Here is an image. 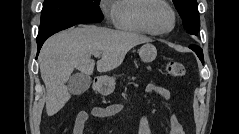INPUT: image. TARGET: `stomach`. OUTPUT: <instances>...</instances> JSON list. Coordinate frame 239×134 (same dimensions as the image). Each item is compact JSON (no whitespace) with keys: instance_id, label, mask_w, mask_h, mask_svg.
Segmentation results:
<instances>
[{"instance_id":"0dacf381","label":"stomach","mask_w":239,"mask_h":134,"mask_svg":"<svg viewBox=\"0 0 239 134\" xmlns=\"http://www.w3.org/2000/svg\"><path fill=\"white\" fill-rule=\"evenodd\" d=\"M139 56L143 62H152L157 56L156 47L147 42L139 49ZM115 89V79L109 76H103L97 83V90L103 95L111 94Z\"/></svg>"}]
</instances>
